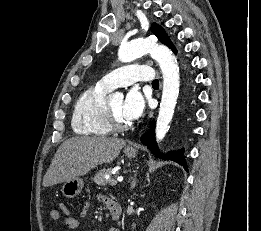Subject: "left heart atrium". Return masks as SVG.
<instances>
[{
    "instance_id": "39dd6f15",
    "label": "left heart atrium",
    "mask_w": 261,
    "mask_h": 231,
    "mask_svg": "<svg viewBox=\"0 0 261 231\" xmlns=\"http://www.w3.org/2000/svg\"><path fill=\"white\" fill-rule=\"evenodd\" d=\"M146 101L138 88L128 91L123 101V114L128 121L139 119L145 109Z\"/></svg>"
}]
</instances>
